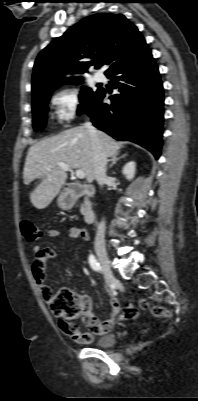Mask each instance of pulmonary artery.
I'll return each instance as SVG.
<instances>
[{
    "label": "pulmonary artery",
    "instance_id": "pulmonary-artery-1",
    "mask_svg": "<svg viewBox=\"0 0 198 401\" xmlns=\"http://www.w3.org/2000/svg\"><path fill=\"white\" fill-rule=\"evenodd\" d=\"M94 81L97 82V83L103 82V81H104V76H103V74H101V73H99V72H96V73L94 74Z\"/></svg>",
    "mask_w": 198,
    "mask_h": 401
}]
</instances>
